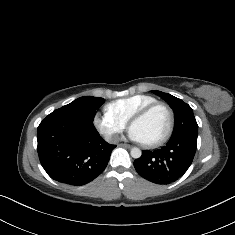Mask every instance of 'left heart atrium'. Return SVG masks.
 Returning <instances> with one entry per match:
<instances>
[{
    "label": "left heart atrium",
    "mask_w": 235,
    "mask_h": 235,
    "mask_svg": "<svg viewBox=\"0 0 235 235\" xmlns=\"http://www.w3.org/2000/svg\"><path fill=\"white\" fill-rule=\"evenodd\" d=\"M128 138L134 142L142 143V138H141L140 134L138 133V131L134 127H131L129 129Z\"/></svg>",
    "instance_id": "39dd6f15"
}]
</instances>
